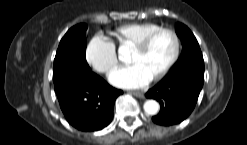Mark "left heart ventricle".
Listing matches in <instances>:
<instances>
[{"label": "left heart ventricle", "mask_w": 247, "mask_h": 145, "mask_svg": "<svg viewBox=\"0 0 247 145\" xmlns=\"http://www.w3.org/2000/svg\"><path fill=\"white\" fill-rule=\"evenodd\" d=\"M174 50V41L170 34L162 33L154 38L149 47L139 52L132 50L129 63L138 64L152 77L170 60Z\"/></svg>", "instance_id": "obj_1"}]
</instances>
